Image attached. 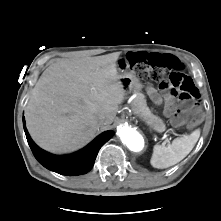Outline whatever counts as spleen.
Segmentation results:
<instances>
[{
    "label": "spleen",
    "mask_w": 221,
    "mask_h": 221,
    "mask_svg": "<svg viewBox=\"0 0 221 221\" xmlns=\"http://www.w3.org/2000/svg\"><path fill=\"white\" fill-rule=\"evenodd\" d=\"M200 137L196 129L189 135L176 138L168 146L155 145L150 163L158 169L168 168L183 160L194 148Z\"/></svg>",
    "instance_id": "spleen-1"
}]
</instances>
